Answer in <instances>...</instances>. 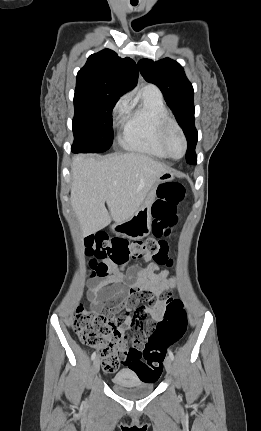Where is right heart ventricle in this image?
I'll list each match as a JSON object with an SVG mask.
<instances>
[{
    "mask_svg": "<svg viewBox=\"0 0 261 431\" xmlns=\"http://www.w3.org/2000/svg\"><path fill=\"white\" fill-rule=\"evenodd\" d=\"M167 116L161 94L143 88L122 119L121 145L127 150L167 158L159 141L160 125Z\"/></svg>",
    "mask_w": 261,
    "mask_h": 431,
    "instance_id": "obj_1",
    "label": "right heart ventricle"
}]
</instances>
